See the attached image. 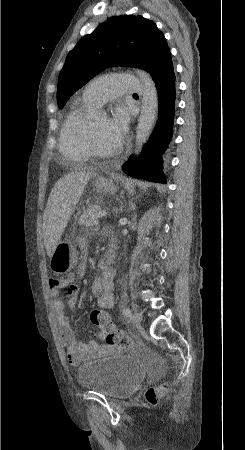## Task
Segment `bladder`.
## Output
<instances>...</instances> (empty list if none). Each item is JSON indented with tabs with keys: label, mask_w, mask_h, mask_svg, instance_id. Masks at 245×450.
Segmentation results:
<instances>
[{
	"label": "bladder",
	"mask_w": 245,
	"mask_h": 450,
	"mask_svg": "<svg viewBox=\"0 0 245 450\" xmlns=\"http://www.w3.org/2000/svg\"><path fill=\"white\" fill-rule=\"evenodd\" d=\"M81 387L111 398L129 396L142 382L141 368L129 357L107 355L81 365L77 371Z\"/></svg>",
	"instance_id": "obj_1"
}]
</instances>
